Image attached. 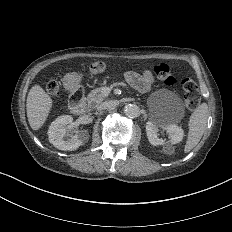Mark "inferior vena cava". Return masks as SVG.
<instances>
[{
	"label": "inferior vena cava",
	"instance_id": "602c4592",
	"mask_svg": "<svg viewBox=\"0 0 232 232\" xmlns=\"http://www.w3.org/2000/svg\"><path fill=\"white\" fill-rule=\"evenodd\" d=\"M117 105V101H106L98 106V110H110Z\"/></svg>",
	"mask_w": 232,
	"mask_h": 232
}]
</instances>
